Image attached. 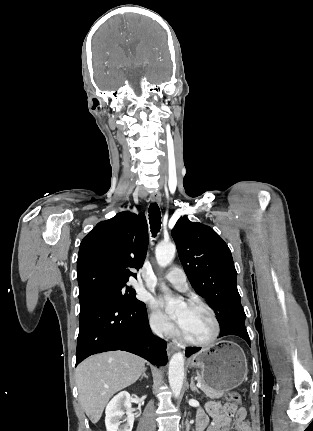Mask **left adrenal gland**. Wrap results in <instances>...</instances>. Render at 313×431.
Instances as JSON below:
<instances>
[{
    "label": "left adrenal gland",
    "mask_w": 313,
    "mask_h": 431,
    "mask_svg": "<svg viewBox=\"0 0 313 431\" xmlns=\"http://www.w3.org/2000/svg\"><path fill=\"white\" fill-rule=\"evenodd\" d=\"M190 389L193 391V392H196L197 394H200V391L198 390V388L195 386V383H194V379H193V377L191 378V382H190Z\"/></svg>",
    "instance_id": "obj_1"
}]
</instances>
